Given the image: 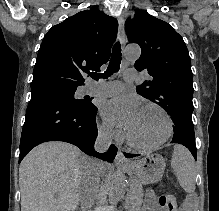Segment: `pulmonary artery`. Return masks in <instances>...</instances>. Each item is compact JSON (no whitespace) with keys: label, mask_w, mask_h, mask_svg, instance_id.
Segmentation results:
<instances>
[{"label":"pulmonary artery","mask_w":219,"mask_h":211,"mask_svg":"<svg viewBox=\"0 0 219 211\" xmlns=\"http://www.w3.org/2000/svg\"><path fill=\"white\" fill-rule=\"evenodd\" d=\"M136 69H125L123 74V79L126 82H133L138 79L136 74ZM124 89V84L122 81H99L94 82L86 87H84L81 95H91V96H112Z\"/></svg>","instance_id":"pulmonary-artery-1"}]
</instances>
